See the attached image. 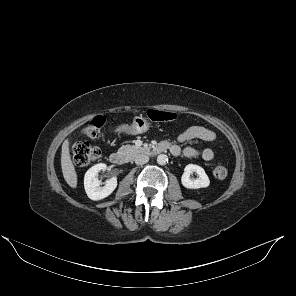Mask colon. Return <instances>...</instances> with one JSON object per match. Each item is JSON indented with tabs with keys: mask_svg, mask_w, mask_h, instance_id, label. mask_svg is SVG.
I'll list each match as a JSON object with an SVG mask.
<instances>
[{
	"mask_svg": "<svg viewBox=\"0 0 296 296\" xmlns=\"http://www.w3.org/2000/svg\"><path fill=\"white\" fill-rule=\"evenodd\" d=\"M147 116L155 122H170L176 119L175 113L157 109L148 110ZM103 124L104 118L98 116L85 126L83 134L89 138H98ZM99 156L100 150L85 141H78L72 147L71 157L77 166H87L94 163L98 160ZM213 173L215 177L223 179L227 175V169L224 165H217Z\"/></svg>",
	"mask_w": 296,
	"mask_h": 296,
	"instance_id": "5ec220e1",
	"label": "colon"
}]
</instances>
